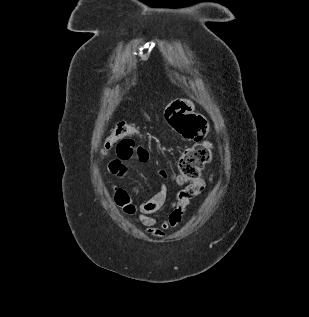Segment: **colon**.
I'll return each instance as SVG.
<instances>
[{
    "mask_svg": "<svg viewBox=\"0 0 309 317\" xmlns=\"http://www.w3.org/2000/svg\"><path fill=\"white\" fill-rule=\"evenodd\" d=\"M167 123L178 134L194 139L196 144L186 148L178 162L176 180L180 184L191 183L200 178L201 171L211 160V145L205 140L208 132L204 117L193 112L192 103L187 99H176L165 109ZM137 132L134 125L119 122L105 141L103 152L109 151L117 144V151L131 143L132 156L143 155L147 150L137 146L131 137Z\"/></svg>",
    "mask_w": 309,
    "mask_h": 317,
    "instance_id": "5ec220e1",
    "label": "colon"
}]
</instances>
